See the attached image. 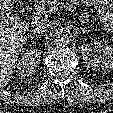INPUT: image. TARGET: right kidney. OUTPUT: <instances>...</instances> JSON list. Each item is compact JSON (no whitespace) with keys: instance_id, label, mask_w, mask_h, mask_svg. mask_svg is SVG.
I'll list each match as a JSON object with an SVG mask.
<instances>
[{"instance_id":"right-kidney-1","label":"right kidney","mask_w":113,"mask_h":113,"mask_svg":"<svg viewBox=\"0 0 113 113\" xmlns=\"http://www.w3.org/2000/svg\"><path fill=\"white\" fill-rule=\"evenodd\" d=\"M40 54L41 53L37 48L24 53L17 63V74L21 77L33 74L39 65Z\"/></svg>"}]
</instances>
